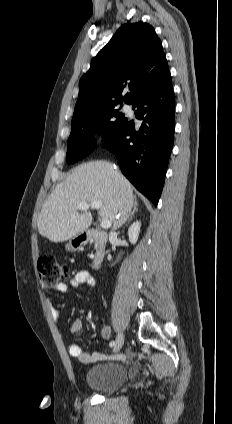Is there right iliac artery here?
Returning <instances> with one entry per match:
<instances>
[{"label":"right iliac artery","mask_w":232,"mask_h":424,"mask_svg":"<svg viewBox=\"0 0 232 424\" xmlns=\"http://www.w3.org/2000/svg\"><path fill=\"white\" fill-rule=\"evenodd\" d=\"M109 345L110 347H113L115 345V341H111Z\"/></svg>","instance_id":"82829eb1"}]
</instances>
